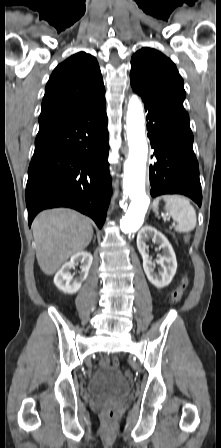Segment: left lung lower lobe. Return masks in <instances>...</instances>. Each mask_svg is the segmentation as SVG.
I'll return each mask as SVG.
<instances>
[{"label": "left lung lower lobe", "mask_w": 221, "mask_h": 448, "mask_svg": "<svg viewBox=\"0 0 221 448\" xmlns=\"http://www.w3.org/2000/svg\"><path fill=\"white\" fill-rule=\"evenodd\" d=\"M148 137L155 162L150 166V194H183L199 206L202 202L199 166L193 152L190 127L176 122L159 109L144 103Z\"/></svg>", "instance_id": "obj_1"}]
</instances>
